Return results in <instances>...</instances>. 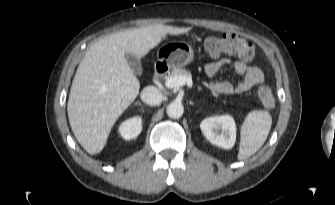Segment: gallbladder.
<instances>
[{
    "instance_id": "gallbladder-1",
    "label": "gallbladder",
    "mask_w": 335,
    "mask_h": 205,
    "mask_svg": "<svg viewBox=\"0 0 335 205\" xmlns=\"http://www.w3.org/2000/svg\"><path fill=\"white\" fill-rule=\"evenodd\" d=\"M126 58L133 72L136 75H140L142 73V65H141L139 57L131 53H127Z\"/></svg>"
}]
</instances>
